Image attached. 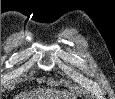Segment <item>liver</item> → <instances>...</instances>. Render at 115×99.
<instances>
[{
	"label": "liver",
	"mask_w": 115,
	"mask_h": 99,
	"mask_svg": "<svg viewBox=\"0 0 115 99\" xmlns=\"http://www.w3.org/2000/svg\"><path fill=\"white\" fill-rule=\"evenodd\" d=\"M36 95H35V93H33V94H27V95H20V96H17L18 98H16V99H33V97H35Z\"/></svg>",
	"instance_id": "liver-1"
}]
</instances>
